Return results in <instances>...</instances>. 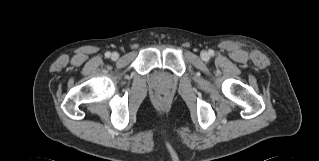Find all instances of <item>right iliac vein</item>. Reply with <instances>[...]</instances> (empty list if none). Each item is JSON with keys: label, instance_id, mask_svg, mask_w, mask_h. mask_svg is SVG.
I'll return each instance as SVG.
<instances>
[{"label": "right iliac vein", "instance_id": "1", "mask_svg": "<svg viewBox=\"0 0 319 161\" xmlns=\"http://www.w3.org/2000/svg\"><path fill=\"white\" fill-rule=\"evenodd\" d=\"M111 57L113 60H117L119 57V54L117 52H113Z\"/></svg>", "mask_w": 319, "mask_h": 161}]
</instances>
